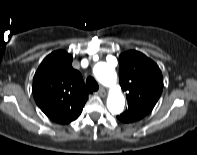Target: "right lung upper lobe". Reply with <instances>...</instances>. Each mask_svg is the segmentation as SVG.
Segmentation results:
<instances>
[{
  "mask_svg": "<svg viewBox=\"0 0 197 155\" xmlns=\"http://www.w3.org/2000/svg\"><path fill=\"white\" fill-rule=\"evenodd\" d=\"M72 56L58 50L48 55L33 78V95L39 108L51 120L67 124L78 118L92 93L79 71L72 67Z\"/></svg>",
  "mask_w": 197,
  "mask_h": 155,
  "instance_id": "cb5924a9",
  "label": "right lung upper lobe"
}]
</instances>
